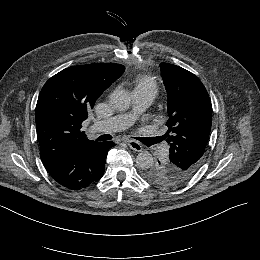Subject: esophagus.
Segmentation results:
<instances>
[{"label": "esophagus", "instance_id": "34e87169", "mask_svg": "<svg viewBox=\"0 0 260 260\" xmlns=\"http://www.w3.org/2000/svg\"><path fill=\"white\" fill-rule=\"evenodd\" d=\"M128 146L134 150V151H137V152H141L143 147L141 145L140 142L136 141V140H129L128 141Z\"/></svg>", "mask_w": 260, "mask_h": 260}]
</instances>
